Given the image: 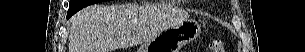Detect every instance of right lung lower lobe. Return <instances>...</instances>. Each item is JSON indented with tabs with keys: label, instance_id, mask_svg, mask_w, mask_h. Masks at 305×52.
I'll return each mask as SVG.
<instances>
[{
	"label": "right lung lower lobe",
	"instance_id": "1",
	"mask_svg": "<svg viewBox=\"0 0 305 52\" xmlns=\"http://www.w3.org/2000/svg\"><path fill=\"white\" fill-rule=\"evenodd\" d=\"M73 14H74V12H73V11L68 10V13H67V19H68L69 17H71Z\"/></svg>",
	"mask_w": 305,
	"mask_h": 52
}]
</instances>
